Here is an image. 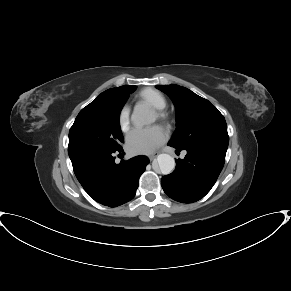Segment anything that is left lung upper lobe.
Here are the masks:
<instances>
[{
  "label": "left lung upper lobe",
  "mask_w": 291,
  "mask_h": 291,
  "mask_svg": "<svg viewBox=\"0 0 291 291\" xmlns=\"http://www.w3.org/2000/svg\"><path fill=\"white\" fill-rule=\"evenodd\" d=\"M173 101L176 109V130L168 143L184 149L198 143L228 144L224 116L208 100L178 85H157Z\"/></svg>",
  "instance_id": "1"
}]
</instances>
